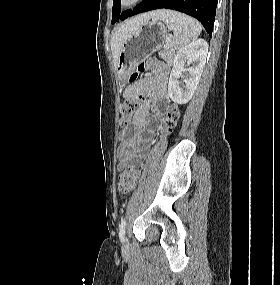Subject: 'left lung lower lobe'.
<instances>
[{
    "label": "left lung lower lobe",
    "instance_id": "0a47b994",
    "mask_svg": "<svg viewBox=\"0 0 280 285\" xmlns=\"http://www.w3.org/2000/svg\"><path fill=\"white\" fill-rule=\"evenodd\" d=\"M217 0H143L130 16L155 9H172L198 19L212 36Z\"/></svg>",
    "mask_w": 280,
    "mask_h": 285
}]
</instances>
